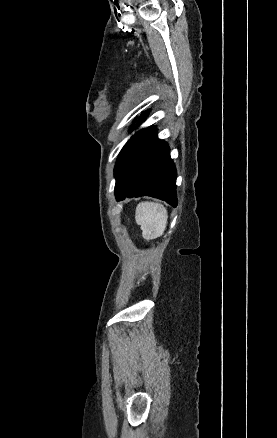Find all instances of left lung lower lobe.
I'll list each match as a JSON object with an SVG mask.
<instances>
[{
	"instance_id": "0a47b994",
	"label": "left lung lower lobe",
	"mask_w": 277,
	"mask_h": 438,
	"mask_svg": "<svg viewBox=\"0 0 277 438\" xmlns=\"http://www.w3.org/2000/svg\"><path fill=\"white\" fill-rule=\"evenodd\" d=\"M145 116L142 114L138 122ZM169 151L168 145L157 138L154 127L137 132L116 180L117 201L147 195L177 206L176 169Z\"/></svg>"
}]
</instances>
